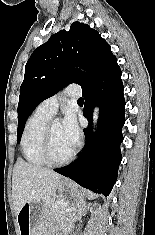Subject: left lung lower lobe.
Segmentation results:
<instances>
[{"label":"left lung lower lobe","instance_id":"0a47b994","mask_svg":"<svg viewBox=\"0 0 155 235\" xmlns=\"http://www.w3.org/2000/svg\"><path fill=\"white\" fill-rule=\"evenodd\" d=\"M117 59L102 72L98 80L83 88L85 104L83 115L89 126L84 129L86 143L76 161L54 169L95 193L109 195L118 175L122 160L120 144L125 123L124 87ZM100 108L98 129L92 133V114L95 105Z\"/></svg>","mask_w":155,"mask_h":235}]
</instances>
